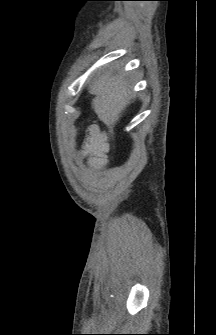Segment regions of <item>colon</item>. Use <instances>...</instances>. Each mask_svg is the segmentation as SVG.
Segmentation results:
<instances>
[{"label":"colon","mask_w":216,"mask_h":335,"mask_svg":"<svg viewBox=\"0 0 216 335\" xmlns=\"http://www.w3.org/2000/svg\"><path fill=\"white\" fill-rule=\"evenodd\" d=\"M108 143L104 141V135L97 126L89 129L85 139V156L83 168L85 178H94L95 172H107L110 164L107 150Z\"/></svg>","instance_id":"5ec220e1"}]
</instances>
